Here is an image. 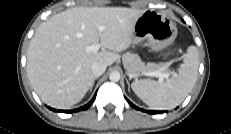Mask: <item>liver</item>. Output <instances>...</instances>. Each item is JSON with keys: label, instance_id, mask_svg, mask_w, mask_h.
<instances>
[{"label": "liver", "instance_id": "1", "mask_svg": "<svg viewBox=\"0 0 231 134\" xmlns=\"http://www.w3.org/2000/svg\"><path fill=\"white\" fill-rule=\"evenodd\" d=\"M144 12L125 7H74L41 23L27 51L28 78L41 100L56 108L81 101L94 80L92 65L110 66L120 58L118 53L132 43L134 23ZM97 43L101 51L87 50Z\"/></svg>", "mask_w": 231, "mask_h": 134}]
</instances>
